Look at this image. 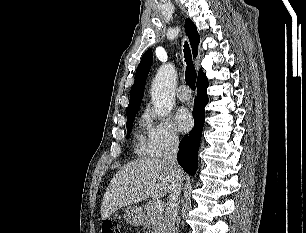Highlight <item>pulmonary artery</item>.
<instances>
[{
	"label": "pulmonary artery",
	"mask_w": 306,
	"mask_h": 233,
	"mask_svg": "<svg viewBox=\"0 0 306 233\" xmlns=\"http://www.w3.org/2000/svg\"><path fill=\"white\" fill-rule=\"evenodd\" d=\"M176 96L181 101H188L191 98V93L187 89V86L181 85L176 91Z\"/></svg>",
	"instance_id": "pulmonary-artery-1"
}]
</instances>
